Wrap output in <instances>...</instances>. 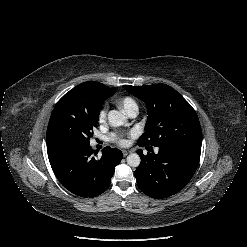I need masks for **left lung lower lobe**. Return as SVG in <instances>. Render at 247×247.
Returning a JSON list of instances; mask_svg holds the SVG:
<instances>
[{"label":"left lung lower lobe","mask_w":247,"mask_h":247,"mask_svg":"<svg viewBox=\"0 0 247 247\" xmlns=\"http://www.w3.org/2000/svg\"><path fill=\"white\" fill-rule=\"evenodd\" d=\"M149 151L144 155L137 150L141 158L134 175L139 189L146 195L163 199L182 190L193 177L200 160L201 147L188 145L153 146L145 145Z\"/></svg>","instance_id":"obj_1"}]
</instances>
